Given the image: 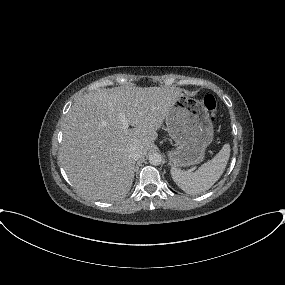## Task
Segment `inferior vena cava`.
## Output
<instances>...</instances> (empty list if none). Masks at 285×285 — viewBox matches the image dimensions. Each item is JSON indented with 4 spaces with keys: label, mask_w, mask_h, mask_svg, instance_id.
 <instances>
[{
    "label": "inferior vena cava",
    "mask_w": 285,
    "mask_h": 285,
    "mask_svg": "<svg viewBox=\"0 0 285 285\" xmlns=\"http://www.w3.org/2000/svg\"><path fill=\"white\" fill-rule=\"evenodd\" d=\"M128 153L130 158H132L135 161L142 158L143 156V152L138 146H131L128 150Z\"/></svg>",
    "instance_id": "602c4592"
}]
</instances>
